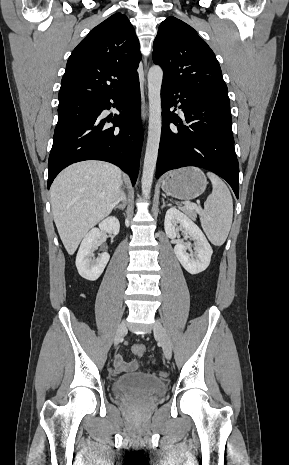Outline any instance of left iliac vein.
<instances>
[{"instance_id": "1", "label": "left iliac vein", "mask_w": 289, "mask_h": 465, "mask_svg": "<svg viewBox=\"0 0 289 465\" xmlns=\"http://www.w3.org/2000/svg\"><path fill=\"white\" fill-rule=\"evenodd\" d=\"M153 331H154V334L159 338V340H160V342L162 344V348H163V352H164L165 357L167 359H170L171 356H172L171 341H170V338H169L165 328L162 326L160 321L156 320V322L154 323Z\"/></svg>"}]
</instances>
